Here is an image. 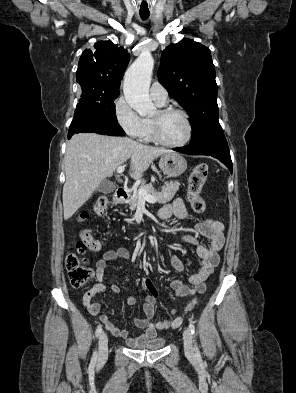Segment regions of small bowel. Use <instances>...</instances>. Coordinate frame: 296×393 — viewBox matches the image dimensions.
Returning <instances> with one entry per match:
<instances>
[{
  "label": "small bowel",
  "instance_id": "small-bowel-1",
  "mask_svg": "<svg viewBox=\"0 0 296 393\" xmlns=\"http://www.w3.org/2000/svg\"><path fill=\"white\" fill-rule=\"evenodd\" d=\"M162 219H170L177 217L181 220L191 218V213L185 206L184 202L177 198L171 204L165 205L159 212ZM224 224L216 219L206 218L197 224L194 228L183 234L181 240L187 243L197 245V256L200 259V268L198 271L189 275V285L185 284L180 279H175L171 283V287L177 297H187L195 293L202 294L206 291L205 281L213 273L215 267L219 263L218 252L224 244ZM203 236L209 240L208 244L199 242V237ZM171 249V247H170ZM130 252L124 247L108 250L96 261V275L97 283L87 290L83 297V305L88 309L89 313L94 316H99V320L105 325L113 335L126 339L129 346L135 347L143 344L146 341L156 337L157 332L166 328H177L182 323V318L179 316L173 317L169 320L155 321L156 310L158 305V292L153 284V281L146 277L142 280V287L149 293L145 296V303L143 310L145 318H134V325L141 329L142 332L138 335H132L129 331L119 328L113 323L105 314H101L100 304L93 301L94 296L106 290V266L110 261L115 260H129ZM173 267L182 272L184 270V263L176 256H170ZM110 289L114 293H119L121 288L118 284H112ZM137 303L136 297H131L127 300V305H135ZM175 309L171 310V315L174 316Z\"/></svg>",
  "mask_w": 296,
  "mask_h": 393
}]
</instances>
